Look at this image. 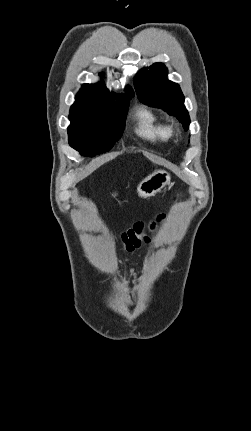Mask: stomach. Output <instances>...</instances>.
<instances>
[{
    "label": "stomach",
    "instance_id": "1",
    "mask_svg": "<svg viewBox=\"0 0 251 431\" xmlns=\"http://www.w3.org/2000/svg\"><path fill=\"white\" fill-rule=\"evenodd\" d=\"M171 181L170 174L165 170H156L147 178L142 180L137 187V192L140 197L149 198L155 196Z\"/></svg>",
    "mask_w": 251,
    "mask_h": 431
}]
</instances>
